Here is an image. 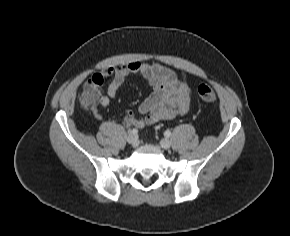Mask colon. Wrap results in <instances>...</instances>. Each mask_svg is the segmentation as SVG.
Wrapping results in <instances>:
<instances>
[{
	"instance_id": "5ec220e1",
	"label": "colon",
	"mask_w": 290,
	"mask_h": 236,
	"mask_svg": "<svg viewBox=\"0 0 290 236\" xmlns=\"http://www.w3.org/2000/svg\"><path fill=\"white\" fill-rule=\"evenodd\" d=\"M102 81H94L92 78L87 80L81 87L79 99L88 109H94L99 102L100 86ZM200 100L204 103H213L216 101V93L211 86L200 85L197 90Z\"/></svg>"
}]
</instances>
